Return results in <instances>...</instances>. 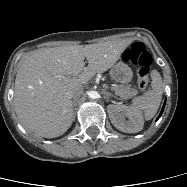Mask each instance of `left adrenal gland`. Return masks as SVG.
<instances>
[{"label":"left adrenal gland","mask_w":187,"mask_h":187,"mask_svg":"<svg viewBox=\"0 0 187 187\" xmlns=\"http://www.w3.org/2000/svg\"><path fill=\"white\" fill-rule=\"evenodd\" d=\"M104 94H105V96H106L107 99H109L110 97L117 98L116 96H114V94H112L110 92H107V91H104Z\"/></svg>","instance_id":"left-adrenal-gland-1"}]
</instances>
